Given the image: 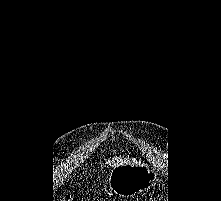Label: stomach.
<instances>
[{
  "instance_id": "stomach-1",
  "label": "stomach",
  "mask_w": 221,
  "mask_h": 201,
  "mask_svg": "<svg viewBox=\"0 0 221 201\" xmlns=\"http://www.w3.org/2000/svg\"><path fill=\"white\" fill-rule=\"evenodd\" d=\"M157 175L147 164H121L112 169L108 179L109 188L116 195L132 196L153 186Z\"/></svg>"
}]
</instances>
